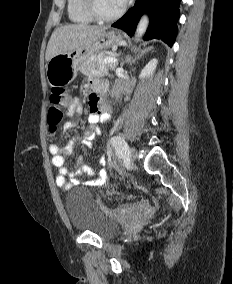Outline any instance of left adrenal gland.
<instances>
[{"label": "left adrenal gland", "mask_w": 233, "mask_h": 284, "mask_svg": "<svg viewBox=\"0 0 233 284\" xmlns=\"http://www.w3.org/2000/svg\"><path fill=\"white\" fill-rule=\"evenodd\" d=\"M152 49H153L152 47H148L147 49H145L144 51L141 52V55L144 54L145 52L151 51ZM135 60H136V58L133 59V60L127 59L126 62H127L128 64H132Z\"/></svg>", "instance_id": "left-adrenal-gland-1"}]
</instances>
